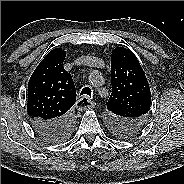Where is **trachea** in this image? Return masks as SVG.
I'll list each match as a JSON object with an SVG mask.
<instances>
[{
	"label": "trachea",
	"instance_id": "1",
	"mask_svg": "<svg viewBox=\"0 0 184 184\" xmlns=\"http://www.w3.org/2000/svg\"><path fill=\"white\" fill-rule=\"evenodd\" d=\"M91 93H92V91H91V89L89 87H84L82 89L81 93H80V96L81 95H88V96L91 97Z\"/></svg>",
	"mask_w": 184,
	"mask_h": 184
}]
</instances>
